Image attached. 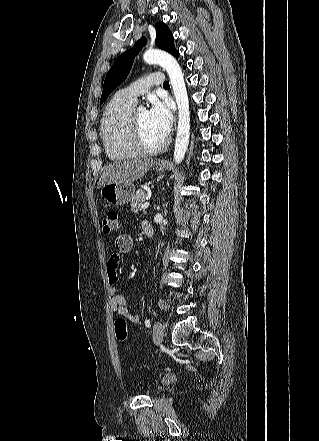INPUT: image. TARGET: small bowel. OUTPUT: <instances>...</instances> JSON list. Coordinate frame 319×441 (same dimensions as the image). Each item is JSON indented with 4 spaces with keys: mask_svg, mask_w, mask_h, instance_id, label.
Masks as SVG:
<instances>
[{
    "mask_svg": "<svg viewBox=\"0 0 319 441\" xmlns=\"http://www.w3.org/2000/svg\"><path fill=\"white\" fill-rule=\"evenodd\" d=\"M115 247L118 253L129 252L133 247L132 237L128 234L120 235L115 241ZM118 253H113L112 255H110L106 263V276L108 281V294L110 296V307L115 314L127 319L131 323L137 324L140 322V316L132 313L126 304L124 296L117 293V288L119 285L117 269L120 260Z\"/></svg>",
    "mask_w": 319,
    "mask_h": 441,
    "instance_id": "small-bowel-1",
    "label": "small bowel"
}]
</instances>
